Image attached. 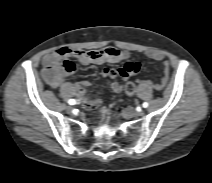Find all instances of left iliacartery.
<instances>
[{"instance_id":"44dca946","label":"left iliac artery","mask_w":212,"mask_h":183,"mask_svg":"<svg viewBox=\"0 0 212 183\" xmlns=\"http://www.w3.org/2000/svg\"><path fill=\"white\" fill-rule=\"evenodd\" d=\"M142 106H143L144 108H147V107H148V103H147V102H144Z\"/></svg>"}]
</instances>
